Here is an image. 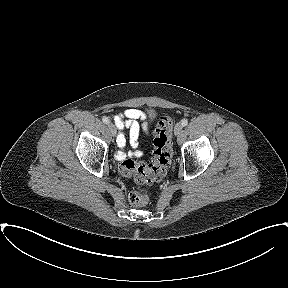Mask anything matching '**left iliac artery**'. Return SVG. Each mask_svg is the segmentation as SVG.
Returning <instances> with one entry per match:
<instances>
[{
	"instance_id": "left-iliac-artery-1",
	"label": "left iliac artery",
	"mask_w": 288,
	"mask_h": 288,
	"mask_svg": "<svg viewBox=\"0 0 288 288\" xmlns=\"http://www.w3.org/2000/svg\"><path fill=\"white\" fill-rule=\"evenodd\" d=\"M182 126H186L188 124V120L187 119H183L181 121Z\"/></svg>"
}]
</instances>
